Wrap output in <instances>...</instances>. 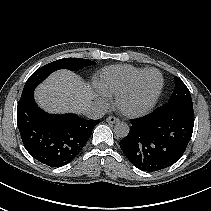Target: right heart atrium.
I'll return each mask as SVG.
<instances>
[{
    "label": "right heart atrium",
    "instance_id": "obj_1",
    "mask_svg": "<svg viewBox=\"0 0 211 211\" xmlns=\"http://www.w3.org/2000/svg\"><path fill=\"white\" fill-rule=\"evenodd\" d=\"M108 99H109V96L107 94H105L102 91L99 92L98 100L100 103L105 104V103H107Z\"/></svg>",
    "mask_w": 211,
    "mask_h": 211
}]
</instances>
